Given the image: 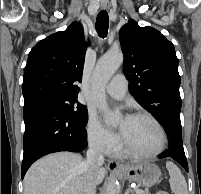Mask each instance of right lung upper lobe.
Returning <instances> with one entry per match:
<instances>
[{"instance_id":"cb5924a9","label":"right lung upper lobe","mask_w":201,"mask_h":194,"mask_svg":"<svg viewBox=\"0 0 201 194\" xmlns=\"http://www.w3.org/2000/svg\"><path fill=\"white\" fill-rule=\"evenodd\" d=\"M85 53L83 27L77 22L36 44L24 69V103L44 95L77 98Z\"/></svg>"}]
</instances>
